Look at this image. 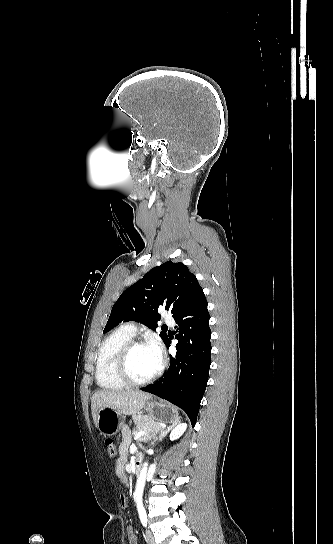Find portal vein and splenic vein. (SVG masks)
<instances>
[{
  "label": "portal vein and splenic vein",
  "instance_id": "18ae733b",
  "mask_svg": "<svg viewBox=\"0 0 333 544\" xmlns=\"http://www.w3.org/2000/svg\"><path fill=\"white\" fill-rule=\"evenodd\" d=\"M146 432L144 430H140L138 431V433L135 435L134 439L137 440L138 438H140L141 436L145 435Z\"/></svg>",
  "mask_w": 333,
  "mask_h": 544
}]
</instances>
